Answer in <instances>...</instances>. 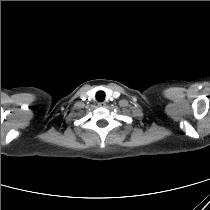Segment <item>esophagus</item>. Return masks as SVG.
<instances>
[{
    "label": "esophagus",
    "mask_w": 210,
    "mask_h": 210,
    "mask_svg": "<svg viewBox=\"0 0 210 210\" xmlns=\"http://www.w3.org/2000/svg\"><path fill=\"white\" fill-rule=\"evenodd\" d=\"M98 106L99 107H105L106 106V103L105 102H100V103H98Z\"/></svg>",
    "instance_id": "esophagus-1"
}]
</instances>
